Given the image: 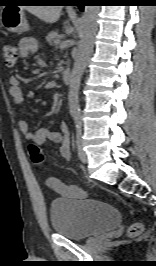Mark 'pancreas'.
<instances>
[{"mask_svg": "<svg viewBox=\"0 0 156 266\" xmlns=\"http://www.w3.org/2000/svg\"><path fill=\"white\" fill-rule=\"evenodd\" d=\"M46 40L50 45H58L60 42V35L56 31H51L47 35Z\"/></svg>", "mask_w": 156, "mask_h": 266, "instance_id": "obj_1", "label": "pancreas"}]
</instances>
